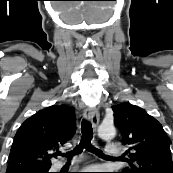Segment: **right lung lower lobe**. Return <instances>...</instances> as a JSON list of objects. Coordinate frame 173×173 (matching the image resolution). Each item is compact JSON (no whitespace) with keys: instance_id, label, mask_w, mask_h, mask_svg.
I'll return each instance as SVG.
<instances>
[{"instance_id":"98d812e1","label":"right lung lower lobe","mask_w":173,"mask_h":173,"mask_svg":"<svg viewBox=\"0 0 173 173\" xmlns=\"http://www.w3.org/2000/svg\"><path fill=\"white\" fill-rule=\"evenodd\" d=\"M18 173H45V171H42V170H27V171H20Z\"/></svg>"}]
</instances>
